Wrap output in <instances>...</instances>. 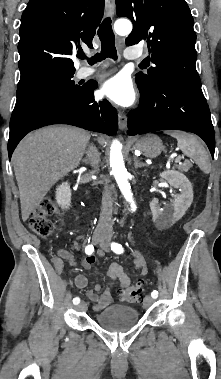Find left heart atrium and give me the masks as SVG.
<instances>
[{"label":"left heart atrium","mask_w":221,"mask_h":379,"mask_svg":"<svg viewBox=\"0 0 221 379\" xmlns=\"http://www.w3.org/2000/svg\"><path fill=\"white\" fill-rule=\"evenodd\" d=\"M100 92L103 97L120 106H128L135 99L133 86L130 80L123 75H117L107 80Z\"/></svg>","instance_id":"39dd6f15"}]
</instances>
